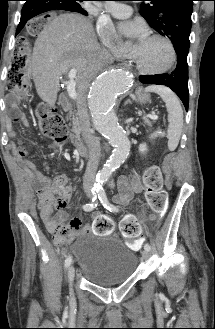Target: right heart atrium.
<instances>
[{
    "mask_svg": "<svg viewBox=\"0 0 215 329\" xmlns=\"http://www.w3.org/2000/svg\"><path fill=\"white\" fill-rule=\"evenodd\" d=\"M97 32L102 42L108 46L117 57L123 56V52L117 45L115 32L110 23L100 21L97 25Z\"/></svg>",
    "mask_w": 215,
    "mask_h": 329,
    "instance_id": "1",
    "label": "right heart atrium"
}]
</instances>
